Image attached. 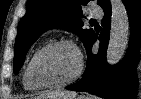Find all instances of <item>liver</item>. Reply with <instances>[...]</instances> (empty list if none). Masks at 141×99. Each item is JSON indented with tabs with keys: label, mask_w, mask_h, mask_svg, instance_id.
<instances>
[{
	"label": "liver",
	"mask_w": 141,
	"mask_h": 99,
	"mask_svg": "<svg viewBox=\"0 0 141 99\" xmlns=\"http://www.w3.org/2000/svg\"><path fill=\"white\" fill-rule=\"evenodd\" d=\"M76 95V92L73 91H52L45 92L39 97L46 99H75Z\"/></svg>",
	"instance_id": "6515ba94"
}]
</instances>
